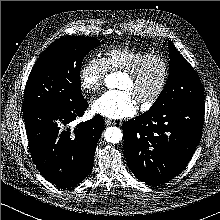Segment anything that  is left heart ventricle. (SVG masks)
Returning <instances> with one entry per match:
<instances>
[{"label": "left heart ventricle", "instance_id": "b2bd125f", "mask_svg": "<svg viewBox=\"0 0 220 220\" xmlns=\"http://www.w3.org/2000/svg\"><path fill=\"white\" fill-rule=\"evenodd\" d=\"M162 75L161 65L150 62L142 73L136 78H130L123 74L120 78L118 87L129 90L138 100L140 96L150 94L158 85Z\"/></svg>", "mask_w": 220, "mask_h": 220}]
</instances>
